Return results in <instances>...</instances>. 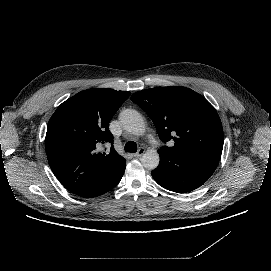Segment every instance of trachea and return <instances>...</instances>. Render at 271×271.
I'll use <instances>...</instances> for the list:
<instances>
[{
    "mask_svg": "<svg viewBox=\"0 0 271 271\" xmlns=\"http://www.w3.org/2000/svg\"><path fill=\"white\" fill-rule=\"evenodd\" d=\"M126 152H136L137 144L134 141H128L124 147Z\"/></svg>",
    "mask_w": 271,
    "mask_h": 271,
    "instance_id": "trachea-1",
    "label": "trachea"
}]
</instances>
